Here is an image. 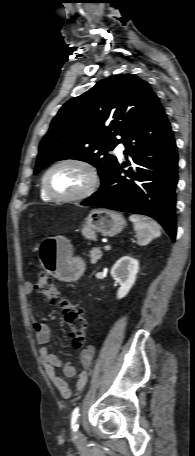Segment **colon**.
Here are the masks:
<instances>
[{
  "mask_svg": "<svg viewBox=\"0 0 195 456\" xmlns=\"http://www.w3.org/2000/svg\"><path fill=\"white\" fill-rule=\"evenodd\" d=\"M34 289L43 294L49 302L58 305L64 315L65 321L70 329V335L75 348H81L86 341V320L82 311L71 303L67 298L61 296L53 279L43 273L34 284Z\"/></svg>",
  "mask_w": 195,
  "mask_h": 456,
  "instance_id": "colon-1",
  "label": "colon"
}]
</instances>
